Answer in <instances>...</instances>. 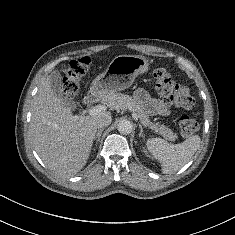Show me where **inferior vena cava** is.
Masks as SVG:
<instances>
[{"label":"inferior vena cava","instance_id":"obj_1","mask_svg":"<svg viewBox=\"0 0 235 235\" xmlns=\"http://www.w3.org/2000/svg\"><path fill=\"white\" fill-rule=\"evenodd\" d=\"M111 116H102L98 121H97V127L98 128H104L108 126L111 123Z\"/></svg>","mask_w":235,"mask_h":235}]
</instances>
